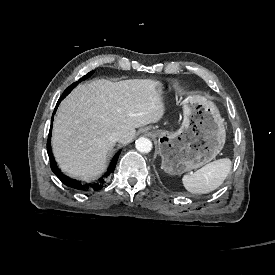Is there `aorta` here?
Returning <instances> with one entry per match:
<instances>
[{"label":"aorta","instance_id":"762f6f07","mask_svg":"<svg viewBox=\"0 0 275 275\" xmlns=\"http://www.w3.org/2000/svg\"><path fill=\"white\" fill-rule=\"evenodd\" d=\"M136 149L140 153H144V154L151 152L152 150L151 140L145 137L139 138L138 140H136Z\"/></svg>","mask_w":275,"mask_h":275}]
</instances>
